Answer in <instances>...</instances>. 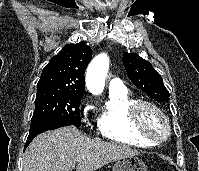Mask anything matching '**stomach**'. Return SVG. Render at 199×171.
Wrapping results in <instances>:
<instances>
[{
	"instance_id": "stomach-1",
	"label": "stomach",
	"mask_w": 199,
	"mask_h": 171,
	"mask_svg": "<svg viewBox=\"0 0 199 171\" xmlns=\"http://www.w3.org/2000/svg\"><path fill=\"white\" fill-rule=\"evenodd\" d=\"M113 171H147V166L140 158L130 156L117 160Z\"/></svg>"
}]
</instances>
